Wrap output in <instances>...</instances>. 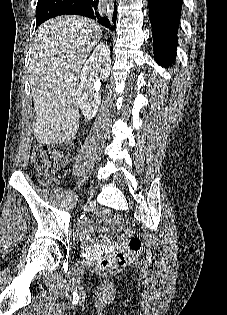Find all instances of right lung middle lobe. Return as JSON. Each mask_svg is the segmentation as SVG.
I'll return each instance as SVG.
<instances>
[{
  "label": "right lung middle lobe",
  "mask_w": 227,
  "mask_h": 315,
  "mask_svg": "<svg viewBox=\"0 0 227 315\" xmlns=\"http://www.w3.org/2000/svg\"><path fill=\"white\" fill-rule=\"evenodd\" d=\"M65 0H38L36 7V29L37 27L51 18L56 10Z\"/></svg>",
  "instance_id": "dd1d6c3e"
}]
</instances>
